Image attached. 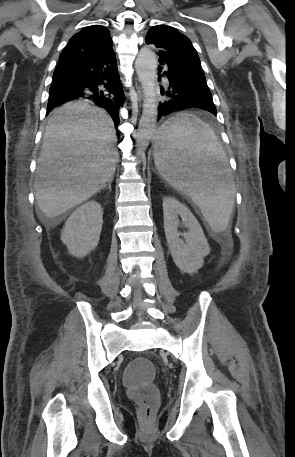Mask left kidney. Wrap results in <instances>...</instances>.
Here are the masks:
<instances>
[{
  "label": "left kidney",
  "instance_id": "left-kidney-1",
  "mask_svg": "<svg viewBox=\"0 0 295 457\" xmlns=\"http://www.w3.org/2000/svg\"><path fill=\"white\" fill-rule=\"evenodd\" d=\"M178 216L188 232H178ZM164 230L169 250L176 266L183 272H197L204 263L210 247L204 232L192 212L173 197L163 199ZM183 235L185 240L179 237Z\"/></svg>",
  "mask_w": 295,
  "mask_h": 457
}]
</instances>
